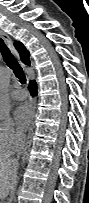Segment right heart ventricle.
Wrapping results in <instances>:
<instances>
[{"instance_id": "obj_1", "label": "right heart ventricle", "mask_w": 89, "mask_h": 203, "mask_svg": "<svg viewBox=\"0 0 89 203\" xmlns=\"http://www.w3.org/2000/svg\"><path fill=\"white\" fill-rule=\"evenodd\" d=\"M12 152H9L8 150H6L0 143V157L3 158V157H8L10 156Z\"/></svg>"}]
</instances>
